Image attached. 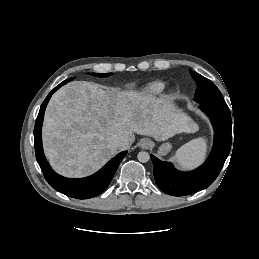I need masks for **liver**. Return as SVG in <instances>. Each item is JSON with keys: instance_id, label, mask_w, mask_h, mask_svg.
I'll return each mask as SVG.
<instances>
[{"instance_id": "obj_1", "label": "liver", "mask_w": 259, "mask_h": 259, "mask_svg": "<svg viewBox=\"0 0 259 259\" xmlns=\"http://www.w3.org/2000/svg\"><path fill=\"white\" fill-rule=\"evenodd\" d=\"M196 130L186 114L163 98L73 81L59 89L47 106L43 146L56 172L84 177L100 169L118 150L129 148L134 133L165 141ZM115 136L124 138L126 146H114Z\"/></svg>"}]
</instances>
